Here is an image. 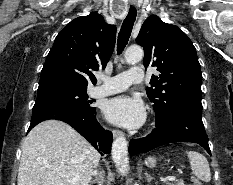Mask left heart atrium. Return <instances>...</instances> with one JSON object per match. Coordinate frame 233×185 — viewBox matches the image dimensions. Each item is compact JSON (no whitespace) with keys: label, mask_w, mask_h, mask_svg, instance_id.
Returning <instances> with one entry per match:
<instances>
[{"label":"left heart atrium","mask_w":233,"mask_h":185,"mask_svg":"<svg viewBox=\"0 0 233 185\" xmlns=\"http://www.w3.org/2000/svg\"><path fill=\"white\" fill-rule=\"evenodd\" d=\"M104 114L110 122L125 128L141 126L146 116L143 102L128 95L109 99L104 105Z\"/></svg>","instance_id":"obj_1"}]
</instances>
